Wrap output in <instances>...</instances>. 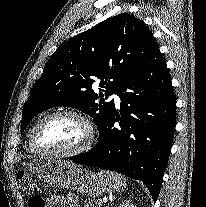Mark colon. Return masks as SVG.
I'll return each mask as SVG.
<instances>
[{"instance_id": "5ec220e1", "label": "colon", "mask_w": 206, "mask_h": 207, "mask_svg": "<svg viewBox=\"0 0 206 207\" xmlns=\"http://www.w3.org/2000/svg\"><path fill=\"white\" fill-rule=\"evenodd\" d=\"M16 178L22 191L29 196L30 207H46V203L42 197L35 194L36 181L35 178L24 170H18Z\"/></svg>"}]
</instances>
